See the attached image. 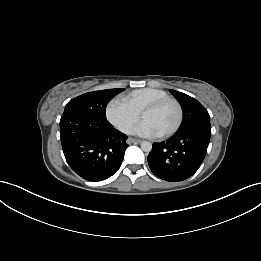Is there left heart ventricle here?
<instances>
[{"instance_id": "left-heart-ventricle-1", "label": "left heart ventricle", "mask_w": 261, "mask_h": 261, "mask_svg": "<svg viewBox=\"0 0 261 261\" xmlns=\"http://www.w3.org/2000/svg\"><path fill=\"white\" fill-rule=\"evenodd\" d=\"M143 120L150 122L160 133L171 129L177 121L178 112L174 104L168 103L143 115Z\"/></svg>"}]
</instances>
